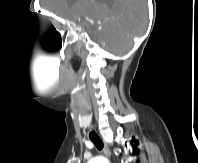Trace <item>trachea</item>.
<instances>
[{
  "label": "trachea",
  "mask_w": 198,
  "mask_h": 163,
  "mask_svg": "<svg viewBox=\"0 0 198 163\" xmlns=\"http://www.w3.org/2000/svg\"><path fill=\"white\" fill-rule=\"evenodd\" d=\"M89 138L91 139V141L94 143V145L96 146V148L98 150H102L103 148V142L102 140L100 139V137L96 134L95 131H92L90 134H89Z\"/></svg>",
  "instance_id": "3493384b"
}]
</instances>
